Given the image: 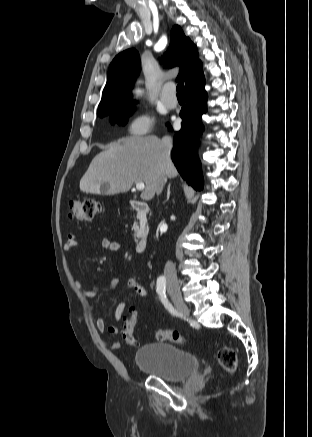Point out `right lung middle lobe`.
<instances>
[{
	"label": "right lung middle lobe",
	"instance_id": "obj_1",
	"mask_svg": "<svg viewBox=\"0 0 312 437\" xmlns=\"http://www.w3.org/2000/svg\"><path fill=\"white\" fill-rule=\"evenodd\" d=\"M132 110H133V104L129 103L115 109L114 111H112L107 115H110L111 124L118 123L119 125H124L127 122L129 115H131ZM103 116L106 115H101V117Z\"/></svg>",
	"mask_w": 312,
	"mask_h": 437
}]
</instances>
